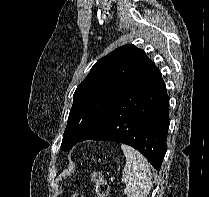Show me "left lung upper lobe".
<instances>
[{
	"mask_svg": "<svg viewBox=\"0 0 209 197\" xmlns=\"http://www.w3.org/2000/svg\"><path fill=\"white\" fill-rule=\"evenodd\" d=\"M154 66L133 44L118 47L97 61L73 96L61 148L67 151L99 121L110 105Z\"/></svg>",
	"mask_w": 209,
	"mask_h": 197,
	"instance_id": "1",
	"label": "left lung upper lobe"
}]
</instances>
